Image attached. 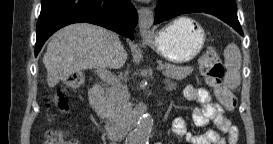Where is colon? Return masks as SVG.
<instances>
[{
	"instance_id": "colon-1",
	"label": "colon",
	"mask_w": 273,
	"mask_h": 144,
	"mask_svg": "<svg viewBox=\"0 0 273 144\" xmlns=\"http://www.w3.org/2000/svg\"><path fill=\"white\" fill-rule=\"evenodd\" d=\"M199 71L205 83L214 90L218 101L229 111L236 107L234 94L223 84L224 66L221 58L214 49H209L199 60ZM85 82V74L82 71L74 72L67 80V85L74 89H80ZM61 105L65 106L64 100ZM51 143H72L56 138Z\"/></svg>"
}]
</instances>
